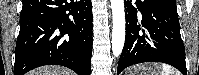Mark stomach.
<instances>
[{
  "mask_svg": "<svg viewBox=\"0 0 199 75\" xmlns=\"http://www.w3.org/2000/svg\"><path fill=\"white\" fill-rule=\"evenodd\" d=\"M153 68H156V67L149 64L137 65V66H133L129 68L126 71L125 75H150V73H152L153 71Z\"/></svg>",
  "mask_w": 199,
  "mask_h": 75,
  "instance_id": "1",
  "label": "stomach"
}]
</instances>
